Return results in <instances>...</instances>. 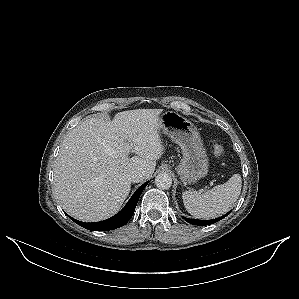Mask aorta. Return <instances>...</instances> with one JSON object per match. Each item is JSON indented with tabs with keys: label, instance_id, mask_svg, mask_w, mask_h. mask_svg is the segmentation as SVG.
Segmentation results:
<instances>
[{
	"label": "aorta",
	"instance_id": "aorta-1",
	"mask_svg": "<svg viewBox=\"0 0 299 299\" xmlns=\"http://www.w3.org/2000/svg\"><path fill=\"white\" fill-rule=\"evenodd\" d=\"M155 184L159 189L167 190L172 185V178L167 173H159L155 178Z\"/></svg>",
	"mask_w": 299,
	"mask_h": 299
}]
</instances>
